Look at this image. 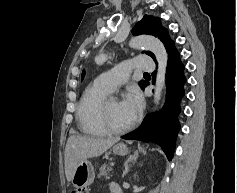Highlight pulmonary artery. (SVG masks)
Instances as JSON below:
<instances>
[{"instance_id":"pulmonary-artery-1","label":"pulmonary artery","mask_w":237,"mask_h":193,"mask_svg":"<svg viewBox=\"0 0 237 193\" xmlns=\"http://www.w3.org/2000/svg\"><path fill=\"white\" fill-rule=\"evenodd\" d=\"M133 69L152 72L155 69V65L150 56L136 57L123 61L114 69L100 74L96 81L113 91L128 80Z\"/></svg>"}]
</instances>
